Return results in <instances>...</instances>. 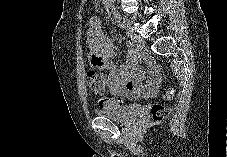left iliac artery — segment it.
I'll use <instances>...</instances> for the list:
<instances>
[{
  "label": "left iliac artery",
  "instance_id": "1",
  "mask_svg": "<svg viewBox=\"0 0 227 157\" xmlns=\"http://www.w3.org/2000/svg\"><path fill=\"white\" fill-rule=\"evenodd\" d=\"M124 22H125V21H124ZM124 22H122L121 20H118V21H117L118 26H120V27H122V28H126Z\"/></svg>",
  "mask_w": 227,
  "mask_h": 157
}]
</instances>
